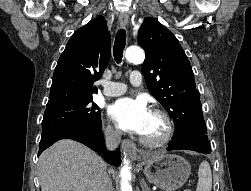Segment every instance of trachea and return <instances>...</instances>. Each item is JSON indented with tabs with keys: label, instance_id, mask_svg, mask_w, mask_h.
Here are the masks:
<instances>
[{
	"label": "trachea",
	"instance_id": "trachea-1",
	"mask_svg": "<svg viewBox=\"0 0 251 191\" xmlns=\"http://www.w3.org/2000/svg\"><path fill=\"white\" fill-rule=\"evenodd\" d=\"M126 44V32L125 30H118L114 47H113V56L117 63H121L123 57V51Z\"/></svg>",
	"mask_w": 251,
	"mask_h": 191
}]
</instances>
